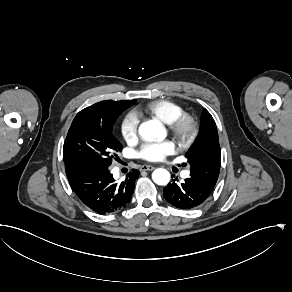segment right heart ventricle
Masks as SVG:
<instances>
[{"label": "right heart ventricle", "mask_w": 292, "mask_h": 292, "mask_svg": "<svg viewBox=\"0 0 292 292\" xmlns=\"http://www.w3.org/2000/svg\"><path fill=\"white\" fill-rule=\"evenodd\" d=\"M143 110L168 125L172 124L182 114L181 106L166 99L150 101Z\"/></svg>", "instance_id": "e07e8e85"}]
</instances>
